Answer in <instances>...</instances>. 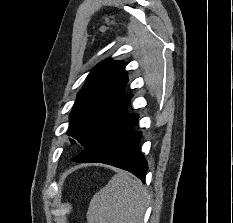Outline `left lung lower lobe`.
I'll use <instances>...</instances> for the list:
<instances>
[{"instance_id": "0a47b994", "label": "left lung lower lobe", "mask_w": 233, "mask_h": 223, "mask_svg": "<svg viewBox=\"0 0 233 223\" xmlns=\"http://www.w3.org/2000/svg\"><path fill=\"white\" fill-rule=\"evenodd\" d=\"M129 104L116 113L73 161L110 164L133 173L145 183L147 162L138 149L141 132L134 131L138 115L127 113Z\"/></svg>"}]
</instances>
